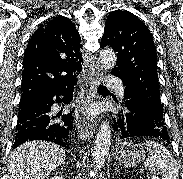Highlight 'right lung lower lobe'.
I'll use <instances>...</instances> for the list:
<instances>
[{"label": "right lung lower lobe", "mask_w": 183, "mask_h": 179, "mask_svg": "<svg viewBox=\"0 0 183 179\" xmlns=\"http://www.w3.org/2000/svg\"><path fill=\"white\" fill-rule=\"evenodd\" d=\"M76 83L67 87H39L22 97L25 101L18 113L13 148L28 140H46L70 149L68 137L73 128L71 113L53 115L50 110L55 103L54 97L58 103L69 104L72 101L73 85ZM60 95L64 98H59ZM60 116L64 123L57 122Z\"/></svg>", "instance_id": "1"}]
</instances>
